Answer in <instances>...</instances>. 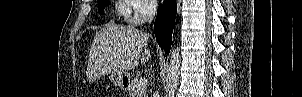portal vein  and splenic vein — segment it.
Listing matches in <instances>:
<instances>
[{
	"mask_svg": "<svg viewBox=\"0 0 302 97\" xmlns=\"http://www.w3.org/2000/svg\"><path fill=\"white\" fill-rule=\"evenodd\" d=\"M147 86V79L146 78H140L137 82V87L139 89H144Z\"/></svg>",
	"mask_w": 302,
	"mask_h": 97,
	"instance_id": "1",
	"label": "portal vein and splenic vein"
}]
</instances>
